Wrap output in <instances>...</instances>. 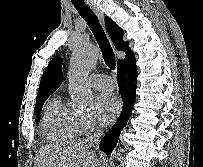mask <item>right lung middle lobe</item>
<instances>
[{"instance_id":"right-lung-middle-lobe-1","label":"right lung middle lobe","mask_w":203,"mask_h":167,"mask_svg":"<svg viewBox=\"0 0 203 167\" xmlns=\"http://www.w3.org/2000/svg\"><path fill=\"white\" fill-rule=\"evenodd\" d=\"M45 101H46V99L36 103L35 111H36V123L37 124H38V121L40 120V113H41V110H42V107H43V104Z\"/></svg>"}]
</instances>
